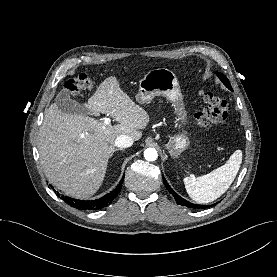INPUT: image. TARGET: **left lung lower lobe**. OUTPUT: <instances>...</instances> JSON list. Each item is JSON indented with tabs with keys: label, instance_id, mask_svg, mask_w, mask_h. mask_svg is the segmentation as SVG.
Listing matches in <instances>:
<instances>
[{
	"label": "left lung lower lobe",
	"instance_id": "obj_1",
	"mask_svg": "<svg viewBox=\"0 0 277 277\" xmlns=\"http://www.w3.org/2000/svg\"><path fill=\"white\" fill-rule=\"evenodd\" d=\"M163 181H164V184L167 186V188L169 189V192L174 196L177 204H180L182 206H186V207H189V208H192V209H204V208H207V207H211L213 205H197V204H192L190 202H188L187 200L181 198L178 194H176L172 189L171 187L168 185L167 181L165 180V178L163 177Z\"/></svg>",
	"mask_w": 277,
	"mask_h": 277
}]
</instances>
